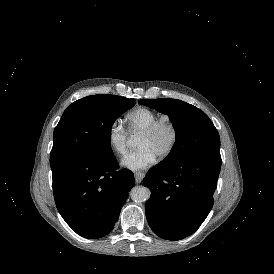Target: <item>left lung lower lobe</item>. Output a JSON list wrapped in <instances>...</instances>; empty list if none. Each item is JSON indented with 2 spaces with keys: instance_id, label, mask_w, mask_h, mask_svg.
I'll use <instances>...</instances> for the list:
<instances>
[{
  "instance_id": "0a47b994",
  "label": "left lung lower lobe",
  "mask_w": 274,
  "mask_h": 274,
  "mask_svg": "<svg viewBox=\"0 0 274 274\" xmlns=\"http://www.w3.org/2000/svg\"><path fill=\"white\" fill-rule=\"evenodd\" d=\"M220 166V155L201 154L149 170L143 179L151 190L145 209L155 234L174 241L199 228L213 206Z\"/></svg>"
}]
</instances>
